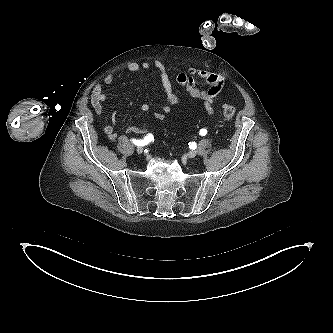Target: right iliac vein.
<instances>
[{
  "label": "right iliac vein",
  "instance_id": "obj_1",
  "mask_svg": "<svg viewBox=\"0 0 333 333\" xmlns=\"http://www.w3.org/2000/svg\"><path fill=\"white\" fill-rule=\"evenodd\" d=\"M136 151H137L138 154H142L143 148L142 147H137Z\"/></svg>",
  "mask_w": 333,
  "mask_h": 333
}]
</instances>
